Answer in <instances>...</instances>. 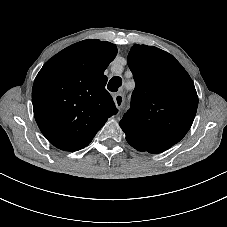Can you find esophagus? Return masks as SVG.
Instances as JSON below:
<instances>
[{"label": "esophagus", "mask_w": 227, "mask_h": 227, "mask_svg": "<svg viewBox=\"0 0 227 227\" xmlns=\"http://www.w3.org/2000/svg\"><path fill=\"white\" fill-rule=\"evenodd\" d=\"M124 95L122 93H118L114 96V102L118 109H121L124 103Z\"/></svg>", "instance_id": "esophagus-1"}]
</instances>
